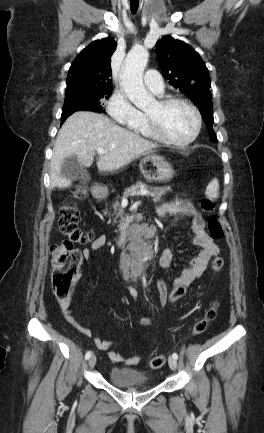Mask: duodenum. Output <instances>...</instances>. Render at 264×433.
Listing matches in <instances>:
<instances>
[{
    "instance_id": "410a0bca",
    "label": "duodenum",
    "mask_w": 264,
    "mask_h": 433,
    "mask_svg": "<svg viewBox=\"0 0 264 433\" xmlns=\"http://www.w3.org/2000/svg\"><path fill=\"white\" fill-rule=\"evenodd\" d=\"M92 192H93V196L96 199H103L104 198V192L100 188L94 187L92 189ZM134 222H135V220L131 219L130 221L123 222L120 225L119 229L111 236V241L113 242L114 245L122 246L125 243L126 237L131 233V226ZM142 232L146 237H151L155 233V228L154 227H148V228L144 229ZM145 253H148V255H150L151 250H149L145 244H140L137 247L136 255L139 257H142V256H144ZM128 266H129V262H126L124 264V267L126 269H128V273L131 276L138 275L142 271L141 262H139L136 266L132 267L131 269H129Z\"/></svg>"
}]
</instances>
